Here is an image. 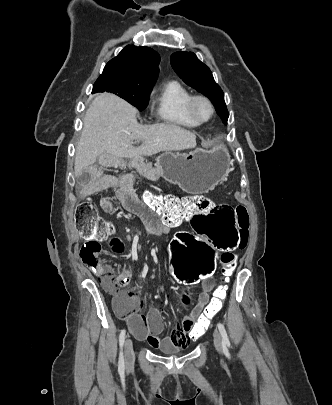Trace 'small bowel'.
I'll return each instance as SVG.
<instances>
[{
    "instance_id": "1",
    "label": "small bowel",
    "mask_w": 332,
    "mask_h": 405,
    "mask_svg": "<svg viewBox=\"0 0 332 405\" xmlns=\"http://www.w3.org/2000/svg\"><path fill=\"white\" fill-rule=\"evenodd\" d=\"M133 164L138 170L142 171L151 167L150 163L145 162L143 156L134 159ZM100 169L101 164L99 162H92L90 168H83L82 172L78 173V177L74 179L75 186H97L102 173ZM107 173L108 175L104 177V184L108 189L116 187L117 190L111 194V202L103 200L99 204V209L104 211L105 215H127L131 213L143 221L149 234L155 236L167 234L171 228L180 224L181 220L168 224H163L160 220L158 222L153 221L152 214L154 212L152 210H145L144 203H141V198L132 188L131 180L137 178L135 171L127 172L126 168H111ZM115 177L126 178H123L117 184ZM132 257L135 261H140L137 253L133 254ZM106 271L108 269L105 267L98 271L102 282H104L103 275ZM130 277V271L124 269L118 275V280L124 285L129 282ZM213 288L214 280L212 275H209L208 281L201 282V291L195 300L192 297H183L177 303V310L189 311V314L183 319L181 327L175 328L171 335L163 338L159 337L164 329V322L161 311L158 308H151L146 315L134 313L141 304L140 300L135 297L134 303L128 313L124 314L116 307L115 309L119 315L126 316L129 329L137 339L146 341L151 347L159 349L162 352L178 353L179 348H185L189 344V331L190 329H194L198 312L202 311L203 307L208 306L209 293Z\"/></svg>"
}]
</instances>
